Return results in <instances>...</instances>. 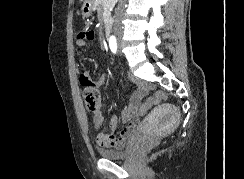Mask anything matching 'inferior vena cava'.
<instances>
[{
  "label": "inferior vena cava",
  "mask_w": 244,
  "mask_h": 179,
  "mask_svg": "<svg viewBox=\"0 0 244 179\" xmlns=\"http://www.w3.org/2000/svg\"><path fill=\"white\" fill-rule=\"evenodd\" d=\"M122 12H123V10H119V8H118V10L116 12L115 24H114V30H115V32H120V30H121L122 24H121V22L119 20V16H122Z\"/></svg>",
  "instance_id": "obj_1"
}]
</instances>
